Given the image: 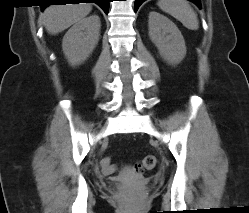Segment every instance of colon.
I'll list each match as a JSON object with an SVG mask.
<instances>
[{"label": "colon", "mask_w": 249, "mask_h": 213, "mask_svg": "<svg viewBox=\"0 0 249 213\" xmlns=\"http://www.w3.org/2000/svg\"><path fill=\"white\" fill-rule=\"evenodd\" d=\"M157 164V159L154 155L145 156L139 163H137L134 167V171L137 174L143 173L145 170L153 169ZM101 166L104 172L113 173L115 171V166L112 165L110 158H104L101 161ZM123 201L125 203L131 204L133 203V199L130 196L123 197Z\"/></svg>", "instance_id": "obj_1"}]
</instances>
